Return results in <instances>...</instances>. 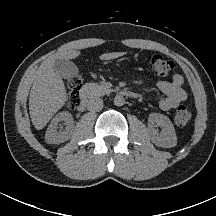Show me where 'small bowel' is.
Here are the masks:
<instances>
[{
  "label": "small bowel",
  "mask_w": 216,
  "mask_h": 216,
  "mask_svg": "<svg viewBox=\"0 0 216 216\" xmlns=\"http://www.w3.org/2000/svg\"><path fill=\"white\" fill-rule=\"evenodd\" d=\"M184 79L181 75L176 74L171 81L161 80L157 83L158 89L164 94L159 101V107L168 111L174 109L182 102L186 101L187 94L183 89Z\"/></svg>",
  "instance_id": "small-bowel-1"
}]
</instances>
